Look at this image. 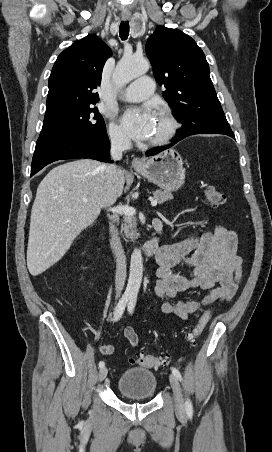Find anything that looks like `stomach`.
Instances as JSON below:
<instances>
[{
    "mask_svg": "<svg viewBox=\"0 0 272 452\" xmlns=\"http://www.w3.org/2000/svg\"><path fill=\"white\" fill-rule=\"evenodd\" d=\"M138 173L165 191L178 190L185 181V169L180 154L169 149L135 166Z\"/></svg>",
    "mask_w": 272,
    "mask_h": 452,
    "instance_id": "obj_1",
    "label": "stomach"
}]
</instances>
